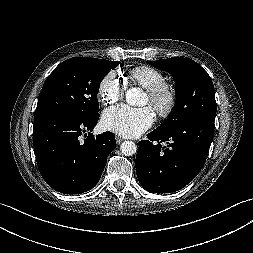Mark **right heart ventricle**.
<instances>
[{"instance_id": "e07e8e85", "label": "right heart ventricle", "mask_w": 253, "mask_h": 253, "mask_svg": "<svg viewBox=\"0 0 253 253\" xmlns=\"http://www.w3.org/2000/svg\"><path fill=\"white\" fill-rule=\"evenodd\" d=\"M129 79L148 89L164 82L163 74L156 68L148 65H141L129 71Z\"/></svg>"}]
</instances>
